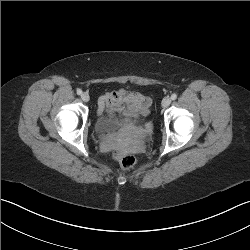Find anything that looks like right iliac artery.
Masks as SVG:
<instances>
[{"label":"right iliac artery","instance_id":"obj_1","mask_svg":"<svg viewBox=\"0 0 250 250\" xmlns=\"http://www.w3.org/2000/svg\"><path fill=\"white\" fill-rule=\"evenodd\" d=\"M77 94L81 95L82 94V90L81 89H77Z\"/></svg>","mask_w":250,"mask_h":250}]
</instances>
